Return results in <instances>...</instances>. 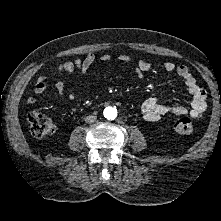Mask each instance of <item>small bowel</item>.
Segmentation results:
<instances>
[{
	"label": "small bowel",
	"mask_w": 221,
	"mask_h": 221,
	"mask_svg": "<svg viewBox=\"0 0 221 221\" xmlns=\"http://www.w3.org/2000/svg\"><path fill=\"white\" fill-rule=\"evenodd\" d=\"M103 62H110L112 57L108 54H103L99 57ZM118 60L121 62H132V58L128 55H120ZM96 61V56L92 53L88 54L84 58L75 60H65L60 62L56 70L58 72L72 73L77 71L79 74H86L88 70L93 66ZM153 65L149 61L139 60L135 65V73L138 78H142L144 72L152 69ZM163 69L167 73L177 74L185 83L189 94L192 96V102L190 108L183 106L169 107L164 104L159 98L152 97L147 99L141 107L143 117L148 121H157L166 113H170L175 116L190 115L194 119L200 118L207 109V92L198 84L197 80L191 73L189 67L186 65H176L171 61L163 63ZM47 88L46 79L40 76L35 83L34 92L35 95H41ZM55 89L59 96H64L65 82L60 80L55 84ZM35 95L27 97L26 102L28 104H34L37 100ZM71 100H77L75 94H70Z\"/></svg>",
	"instance_id": "1"
}]
</instances>
